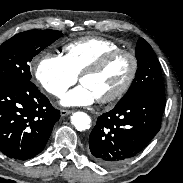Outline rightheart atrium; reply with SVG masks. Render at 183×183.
<instances>
[{"label":"right heart atrium","instance_id":"1","mask_svg":"<svg viewBox=\"0 0 183 183\" xmlns=\"http://www.w3.org/2000/svg\"><path fill=\"white\" fill-rule=\"evenodd\" d=\"M35 76L41 87L55 97H62L78 76L60 54L43 53L37 59Z\"/></svg>","mask_w":183,"mask_h":183}]
</instances>
